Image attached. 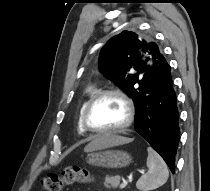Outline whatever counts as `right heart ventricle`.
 <instances>
[{
    "label": "right heart ventricle",
    "mask_w": 210,
    "mask_h": 191,
    "mask_svg": "<svg viewBox=\"0 0 210 191\" xmlns=\"http://www.w3.org/2000/svg\"><path fill=\"white\" fill-rule=\"evenodd\" d=\"M97 93V89L94 86H90L85 91V98L80 106L79 113H78V120H77V129L79 133H85L86 130L84 129L81 121L82 112L87 104V102Z\"/></svg>",
    "instance_id": "obj_1"
}]
</instances>
